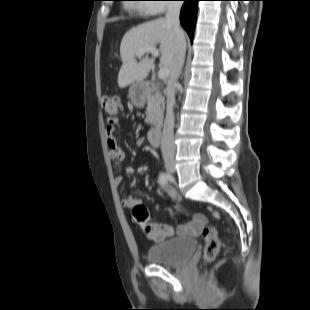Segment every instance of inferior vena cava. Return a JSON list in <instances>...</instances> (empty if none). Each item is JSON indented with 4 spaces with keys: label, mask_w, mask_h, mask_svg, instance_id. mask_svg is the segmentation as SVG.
<instances>
[{
    "label": "inferior vena cava",
    "mask_w": 310,
    "mask_h": 310,
    "mask_svg": "<svg viewBox=\"0 0 310 310\" xmlns=\"http://www.w3.org/2000/svg\"><path fill=\"white\" fill-rule=\"evenodd\" d=\"M182 3L181 1H171L167 7L166 20L173 27L175 34V50L172 65L170 68V79L167 85V109L166 118L163 125L161 136V152L164 157L173 156L175 153L174 146V112L175 89L180 76L186 52V41L183 30L180 28L179 14Z\"/></svg>",
    "instance_id": "602c4592"
}]
</instances>
